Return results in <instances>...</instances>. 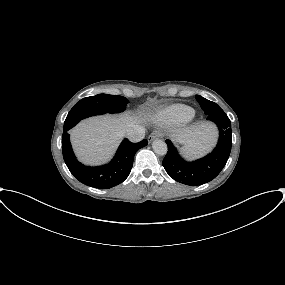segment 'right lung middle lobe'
Here are the masks:
<instances>
[{
  "label": "right lung middle lobe",
  "instance_id": "right-lung-middle-lobe-1",
  "mask_svg": "<svg viewBox=\"0 0 285 285\" xmlns=\"http://www.w3.org/2000/svg\"><path fill=\"white\" fill-rule=\"evenodd\" d=\"M127 103L125 97L118 95L98 94L83 98L68 113L63 131H68L80 120L93 115L119 113L125 109Z\"/></svg>",
  "mask_w": 285,
  "mask_h": 285
}]
</instances>
